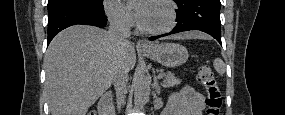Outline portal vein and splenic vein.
Here are the masks:
<instances>
[{"instance_id":"obj_1","label":"portal vein and splenic vein","mask_w":285,"mask_h":115,"mask_svg":"<svg viewBox=\"0 0 285 115\" xmlns=\"http://www.w3.org/2000/svg\"><path fill=\"white\" fill-rule=\"evenodd\" d=\"M162 77H163V74L160 73V74L158 75V78H162Z\"/></svg>"}]
</instances>
